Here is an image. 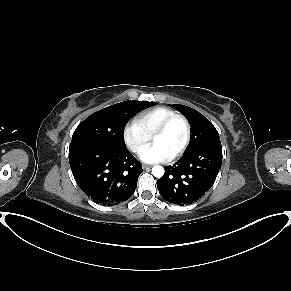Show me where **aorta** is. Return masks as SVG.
<instances>
[{
  "instance_id": "762f6f07",
  "label": "aorta",
  "mask_w": 291,
  "mask_h": 291,
  "mask_svg": "<svg viewBox=\"0 0 291 291\" xmlns=\"http://www.w3.org/2000/svg\"><path fill=\"white\" fill-rule=\"evenodd\" d=\"M153 176L160 178L164 175V168L162 166L156 165L152 168Z\"/></svg>"
}]
</instances>
